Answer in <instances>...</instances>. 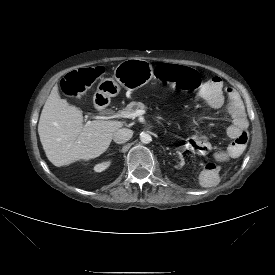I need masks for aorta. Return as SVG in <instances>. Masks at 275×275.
<instances>
[{
	"label": "aorta",
	"mask_w": 275,
	"mask_h": 275,
	"mask_svg": "<svg viewBox=\"0 0 275 275\" xmlns=\"http://www.w3.org/2000/svg\"><path fill=\"white\" fill-rule=\"evenodd\" d=\"M140 140H141L142 143L148 144L152 141V137L150 136V134H148L146 132H142L140 134Z\"/></svg>",
	"instance_id": "762f6f07"
}]
</instances>
